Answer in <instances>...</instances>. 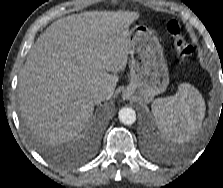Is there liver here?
<instances>
[{"label": "liver", "instance_id": "obj_1", "mask_svg": "<svg viewBox=\"0 0 223 188\" xmlns=\"http://www.w3.org/2000/svg\"><path fill=\"white\" fill-rule=\"evenodd\" d=\"M138 12L89 11L52 23L31 47L19 81V109L30 131L69 143L94 111L91 93L110 99L128 60V28ZM111 72V73H109Z\"/></svg>", "mask_w": 223, "mask_h": 188}]
</instances>
